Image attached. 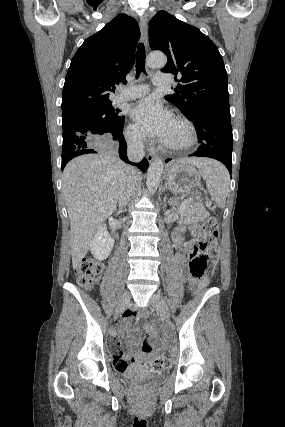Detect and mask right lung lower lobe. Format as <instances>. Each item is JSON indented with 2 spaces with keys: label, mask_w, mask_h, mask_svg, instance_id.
Instances as JSON below:
<instances>
[{
  "label": "right lung lower lobe",
  "mask_w": 285,
  "mask_h": 427,
  "mask_svg": "<svg viewBox=\"0 0 285 427\" xmlns=\"http://www.w3.org/2000/svg\"><path fill=\"white\" fill-rule=\"evenodd\" d=\"M123 126L122 129L115 136H113V140L116 141L115 143L119 147L120 158L126 163L138 166L144 172L149 166V163L145 158L140 163H132L127 158V145L123 136ZM71 138L75 140L76 143L63 146L62 170L64 169L65 165L74 157L87 153H97V151L101 148V144L97 143L96 138L83 132L73 133Z\"/></svg>",
  "instance_id": "1"
}]
</instances>
